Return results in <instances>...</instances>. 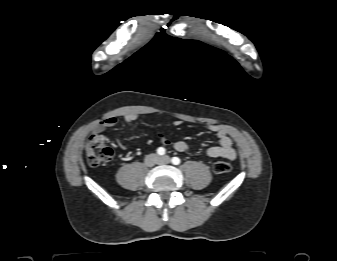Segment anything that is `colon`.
Instances as JSON below:
<instances>
[{
    "label": "colon",
    "mask_w": 337,
    "mask_h": 261,
    "mask_svg": "<svg viewBox=\"0 0 337 261\" xmlns=\"http://www.w3.org/2000/svg\"><path fill=\"white\" fill-rule=\"evenodd\" d=\"M87 161L91 166H99L111 159L113 150L108 145V138L101 133H95L90 136L86 145ZM213 170L217 174H224L231 170L229 160L222 157L213 165Z\"/></svg>",
    "instance_id": "1"
}]
</instances>
